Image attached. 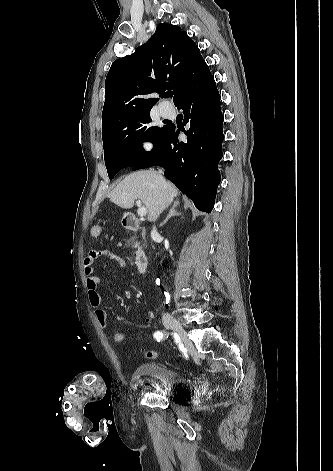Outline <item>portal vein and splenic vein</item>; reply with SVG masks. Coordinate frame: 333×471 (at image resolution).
Instances as JSON below:
<instances>
[{"instance_id":"18ae733b","label":"portal vein and splenic vein","mask_w":333,"mask_h":471,"mask_svg":"<svg viewBox=\"0 0 333 471\" xmlns=\"http://www.w3.org/2000/svg\"><path fill=\"white\" fill-rule=\"evenodd\" d=\"M136 203L138 206V211H137L138 215L141 217L145 216L147 214V209L144 206H142L141 200H137Z\"/></svg>"}]
</instances>
